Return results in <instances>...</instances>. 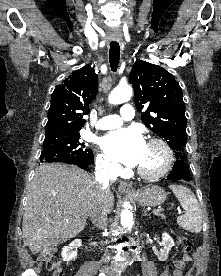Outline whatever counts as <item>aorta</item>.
<instances>
[{
	"label": "aorta",
	"instance_id": "obj_1",
	"mask_svg": "<svg viewBox=\"0 0 221 276\" xmlns=\"http://www.w3.org/2000/svg\"><path fill=\"white\" fill-rule=\"evenodd\" d=\"M132 88L128 85L116 87L109 95V103L121 104L127 102L132 97ZM130 205L125 204L124 210L121 212V225L124 228L132 227L133 225V214L130 211Z\"/></svg>",
	"mask_w": 221,
	"mask_h": 276
}]
</instances>
